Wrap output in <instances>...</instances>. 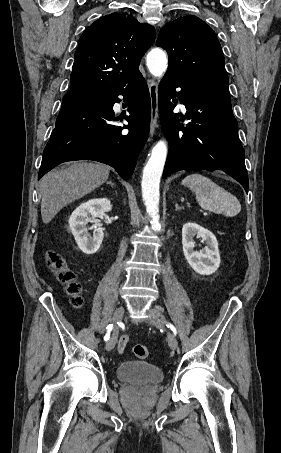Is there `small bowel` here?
I'll return each instance as SVG.
<instances>
[{
    "label": "small bowel",
    "instance_id": "obj_1",
    "mask_svg": "<svg viewBox=\"0 0 281 453\" xmlns=\"http://www.w3.org/2000/svg\"><path fill=\"white\" fill-rule=\"evenodd\" d=\"M126 342H127L126 336H123L119 341L118 348L123 349L126 346Z\"/></svg>",
    "mask_w": 281,
    "mask_h": 453
}]
</instances>
